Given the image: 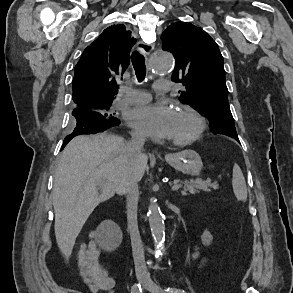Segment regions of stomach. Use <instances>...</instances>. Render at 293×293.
Returning <instances> with one entry per match:
<instances>
[{"instance_id": "0dacf381", "label": "stomach", "mask_w": 293, "mask_h": 293, "mask_svg": "<svg viewBox=\"0 0 293 293\" xmlns=\"http://www.w3.org/2000/svg\"><path fill=\"white\" fill-rule=\"evenodd\" d=\"M166 161L175 170L189 176H196L203 167L200 155L194 150H184L166 156Z\"/></svg>"}]
</instances>
